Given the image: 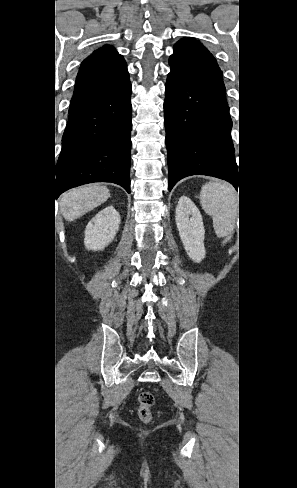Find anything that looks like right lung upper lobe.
<instances>
[{
  "label": "right lung upper lobe",
  "mask_w": 297,
  "mask_h": 488,
  "mask_svg": "<svg viewBox=\"0 0 297 488\" xmlns=\"http://www.w3.org/2000/svg\"><path fill=\"white\" fill-rule=\"evenodd\" d=\"M127 74L126 62L113 46L99 48L81 64L70 108L95 97Z\"/></svg>",
  "instance_id": "right-lung-upper-lobe-1"
}]
</instances>
